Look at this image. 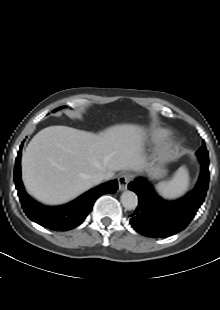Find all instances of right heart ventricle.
<instances>
[{
    "mask_svg": "<svg viewBox=\"0 0 220 310\" xmlns=\"http://www.w3.org/2000/svg\"><path fill=\"white\" fill-rule=\"evenodd\" d=\"M167 136H168L167 132L163 130L154 132L155 140H162L166 138Z\"/></svg>",
    "mask_w": 220,
    "mask_h": 310,
    "instance_id": "obj_1",
    "label": "right heart ventricle"
}]
</instances>
